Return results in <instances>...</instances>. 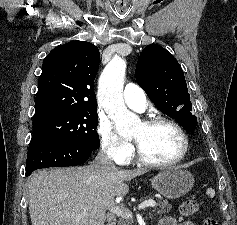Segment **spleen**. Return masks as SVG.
Segmentation results:
<instances>
[{"label": "spleen", "instance_id": "1", "mask_svg": "<svg viewBox=\"0 0 237 225\" xmlns=\"http://www.w3.org/2000/svg\"><path fill=\"white\" fill-rule=\"evenodd\" d=\"M206 194L209 195L210 197H214L215 191L212 188H208Z\"/></svg>", "mask_w": 237, "mask_h": 225}]
</instances>
